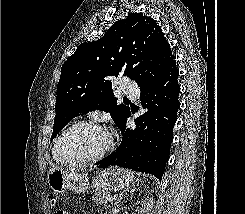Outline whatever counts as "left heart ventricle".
I'll return each mask as SVG.
<instances>
[{
    "label": "left heart ventricle",
    "mask_w": 245,
    "mask_h": 214,
    "mask_svg": "<svg viewBox=\"0 0 245 214\" xmlns=\"http://www.w3.org/2000/svg\"><path fill=\"white\" fill-rule=\"evenodd\" d=\"M104 133L92 126H79L68 132L58 146L62 159H85L98 154L106 145Z\"/></svg>",
    "instance_id": "b2bd125f"
}]
</instances>
